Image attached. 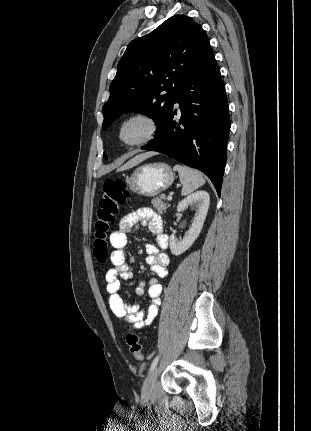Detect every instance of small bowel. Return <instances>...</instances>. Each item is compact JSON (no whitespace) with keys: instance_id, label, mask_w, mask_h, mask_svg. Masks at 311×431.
Wrapping results in <instances>:
<instances>
[{"instance_id":"1","label":"small bowel","mask_w":311,"mask_h":431,"mask_svg":"<svg viewBox=\"0 0 311 431\" xmlns=\"http://www.w3.org/2000/svg\"><path fill=\"white\" fill-rule=\"evenodd\" d=\"M139 225H147L156 240L155 244L147 243L145 246L147 263L159 278H165L168 275L170 258L165 250L168 248L169 238L163 232L162 218L151 208H140L126 214L120 220L118 229L110 237V243L113 247V252L111 253L113 268L106 272L105 281L108 302L113 314L125 319L137 328H143L151 325L158 315L161 304L160 296L163 290L162 285L157 279L149 280L147 292L151 302L143 310H140L137 305H129L119 293L121 279L129 280L133 276L129 269L124 249L127 245L128 234ZM145 291V284H140L136 289L139 295H143Z\"/></svg>"}]
</instances>
